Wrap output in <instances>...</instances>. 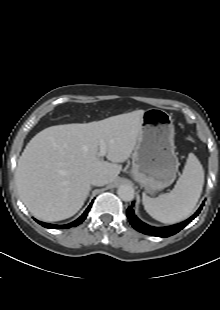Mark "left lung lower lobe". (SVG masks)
Returning a JSON list of instances; mask_svg holds the SVG:
<instances>
[{
    "label": "left lung lower lobe",
    "mask_w": 220,
    "mask_h": 310,
    "mask_svg": "<svg viewBox=\"0 0 220 310\" xmlns=\"http://www.w3.org/2000/svg\"><path fill=\"white\" fill-rule=\"evenodd\" d=\"M134 205V202L132 203ZM204 202L200 206V208L197 210V212L191 216L189 219L185 220L184 222H181L176 225L168 226V227H152L144 222H142L138 217L134 214V210L131 207L127 209V217L130 221V224L139 232L147 234V235H153L158 237H169L176 233H178L180 230H182L186 225H188L201 211L203 208Z\"/></svg>",
    "instance_id": "0a47b994"
}]
</instances>
